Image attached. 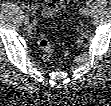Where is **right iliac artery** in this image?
I'll use <instances>...</instances> for the list:
<instances>
[{
    "label": "right iliac artery",
    "mask_w": 111,
    "mask_h": 106,
    "mask_svg": "<svg viewBox=\"0 0 111 106\" xmlns=\"http://www.w3.org/2000/svg\"><path fill=\"white\" fill-rule=\"evenodd\" d=\"M23 19H29V14L27 12H22Z\"/></svg>",
    "instance_id": "1"
}]
</instances>
